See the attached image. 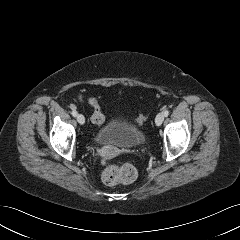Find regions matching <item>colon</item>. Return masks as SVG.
Instances as JSON below:
<instances>
[{
	"label": "colon",
	"instance_id": "1",
	"mask_svg": "<svg viewBox=\"0 0 240 240\" xmlns=\"http://www.w3.org/2000/svg\"><path fill=\"white\" fill-rule=\"evenodd\" d=\"M89 105L93 109L91 121L100 126L105 121V116L101 111L100 105L95 98L89 99ZM146 120L145 116H140L137 119L138 123H143ZM138 176L137 168L131 163H124L121 165L112 164L105 168L102 174V180L106 185L113 186L120 183H131Z\"/></svg>",
	"mask_w": 240,
	"mask_h": 240
}]
</instances>
